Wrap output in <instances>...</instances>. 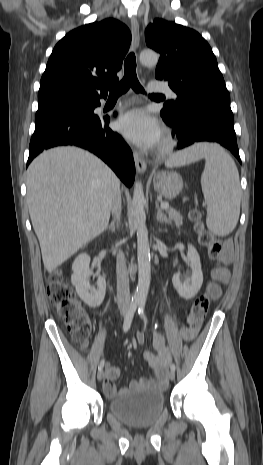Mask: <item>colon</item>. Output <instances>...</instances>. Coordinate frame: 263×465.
I'll use <instances>...</instances> for the list:
<instances>
[{
    "mask_svg": "<svg viewBox=\"0 0 263 465\" xmlns=\"http://www.w3.org/2000/svg\"><path fill=\"white\" fill-rule=\"evenodd\" d=\"M191 219L195 223L199 242L204 246L212 258H219L222 254V243L210 232L206 231L200 222V214L197 211L191 213ZM48 296L56 309V312L65 323L73 340L86 344L90 335V319L73 290L65 281L61 272H54L48 279ZM211 303L208 294H202L196 298L188 315L190 330L195 331L209 309Z\"/></svg>",
    "mask_w": 263,
    "mask_h": 465,
    "instance_id": "5ec220e1",
    "label": "colon"
}]
</instances>
